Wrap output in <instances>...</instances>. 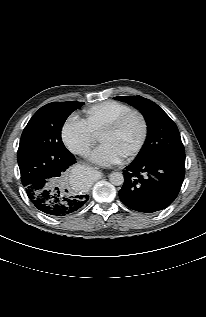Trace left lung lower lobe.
<instances>
[{
  "label": "left lung lower lobe",
  "instance_id": "left-lung-lower-lobe-1",
  "mask_svg": "<svg viewBox=\"0 0 206 317\" xmlns=\"http://www.w3.org/2000/svg\"><path fill=\"white\" fill-rule=\"evenodd\" d=\"M119 191L130 209L153 213L168 207L177 197L185 175V163L168 159L133 161L124 170Z\"/></svg>",
  "mask_w": 206,
  "mask_h": 317
}]
</instances>
